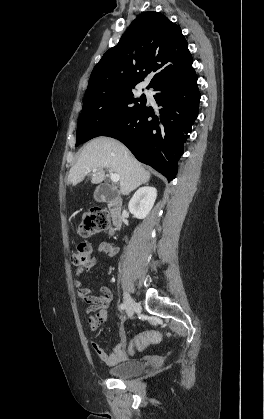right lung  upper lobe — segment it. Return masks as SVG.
<instances>
[{"mask_svg": "<svg viewBox=\"0 0 264 419\" xmlns=\"http://www.w3.org/2000/svg\"><path fill=\"white\" fill-rule=\"evenodd\" d=\"M187 41L178 25L159 12L140 14L94 67L85 97L132 90L152 73L149 87L194 72Z\"/></svg>", "mask_w": 264, "mask_h": 419, "instance_id": "obj_1", "label": "right lung upper lobe"}]
</instances>
